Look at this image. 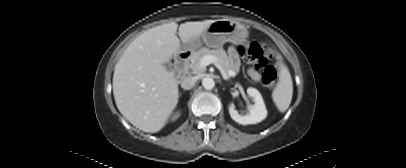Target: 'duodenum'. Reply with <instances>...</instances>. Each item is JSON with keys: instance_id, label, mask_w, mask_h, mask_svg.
Wrapping results in <instances>:
<instances>
[{"instance_id": "1", "label": "duodenum", "mask_w": 406, "mask_h": 168, "mask_svg": "<svg viewBox=\"0 0 406 168\" xmlns=\"http://www.w3.org/2000/svg\"><path fill=\"white\" fill-rule=\"evenodd\" d=\"M190 56L191 53L189 51H183L175 57L174 66L179 77H184L187 74L186 66Z\"/></svg>"}]
</instances>
